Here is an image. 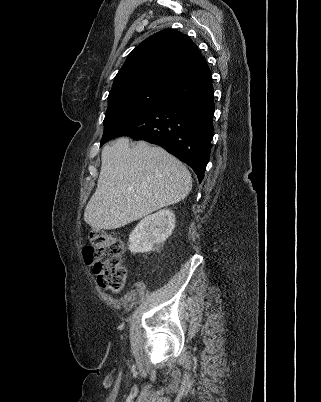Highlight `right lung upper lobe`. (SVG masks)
Returning a JSON list of instances; mask_svg holds the SVG:
<instances>
[{"label": "right lung upper lobe", "mask_w": 321, "mask_h": 402, "mask_svg": "<svg viewBox=\"0 0 321 402\" xmlns=\"http://www.w3.org/2000/svg\"><path fill=\"white\" fill-rule=\"evenodd\" d=\"M206 67L196 44L187 35L164 29L132 50L117 73L110 94L149 83L172 86Z\"/></svg>", "instance_id": "cb5924a9"}]
</instances>
